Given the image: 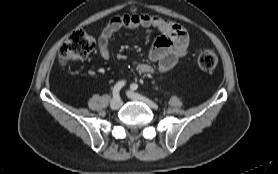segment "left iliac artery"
Masks as SVG:
<instances>
[{"label":"left iliac artery","instance_id":"44dca946","mask_svg":"<svg viewBox=\"0 0 278 174\" xmlns=\"http://www.w3.org/2000/svg\"><path fill=\"white\" fill-rule=\"evenodd\" d=\"M130 88L132 90H137L138 89V85L136 83L131 84Z\"/></svg>","mask_w":278,"mask_h":174}]
</instances>
